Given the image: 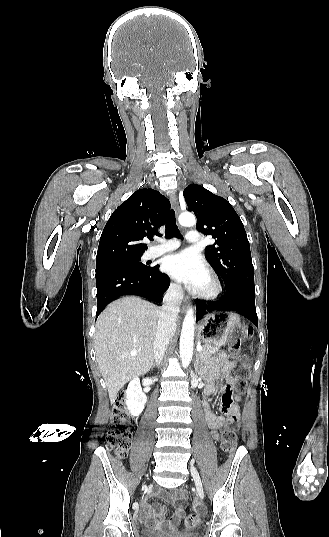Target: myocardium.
<instances>
[{"instance_id":"myocardium-1","label":"myocardium","mask_w":329,"mask_h":537,"mask_svg":"<svg viewBox=\"0 0 329 537\" xmlns=\"http://www.w3.org/2000/svg\"><path fill=\"white\" fill-rule=\"evenodd\" d=\"M207 276L210 281V287L208 289L199 288L196 293L197 296L201 299L211 300L218 297L222 293L223 286L220 278L215 272L209 270L207 272Z\"/></svg>"}]
</instances>
